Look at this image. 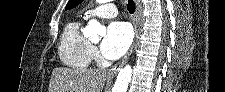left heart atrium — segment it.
<instances>
[{
	"mask_svg": "<svg viewBox=\"0 0 225 92\" xmlns=\"http://www.w3.org/2000/svg\"><path fill=\"white\" fill-rule=\"evenodd\" d=\"M131 41V26L126 22H112L101 44V52L107 59H117L126 52Z\"/></svg>",
	"mask_w": 225,
	"mask_h": 92,
	"instance_id": "1",
	"label": "left heart atrium"
}]
</instances>
